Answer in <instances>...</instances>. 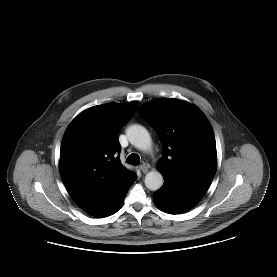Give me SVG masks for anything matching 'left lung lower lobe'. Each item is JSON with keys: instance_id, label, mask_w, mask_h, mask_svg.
Masks as SVG:
<instances>
[{"instance_id": "1", "label": "left lung lower lobe", "mask_w": 277, "mask_h": 277, "mask_svg": "<svg viewBox=\"0 0 277 277\" xmlns=\"http://www.w3.org/2000/svg\"><path fill=\"white\" fill-rule=\"evenodd\" d=\"M207 192V188L186 186L164 180L154 194L155 203L169 214H180L194 207Z\"/></svg>"}]
</instances>
